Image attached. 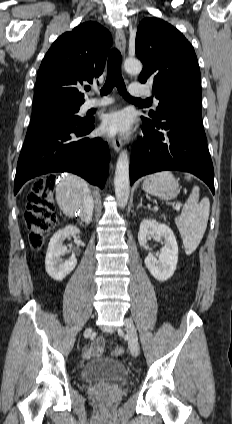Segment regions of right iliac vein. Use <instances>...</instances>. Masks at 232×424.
I'll return each instance as SVG.
<instances>
[{
    "label": "right iliac vein",
    "instance_id": "right-iliac-vein-1",
    "mask_svg": "<svg viewBox=\"0 0 232 424\" xmlns=\"http://www.w3.org/2000/svg\"><path fill=\"white\" fill-rule=\"evenodd\" d=\"M91 332H92V328H91V327H89V328H87V329L85 330L84 335H85V336H89V335L91 334Z\"/></svg>",
    "mask_w": 232,
    "mask_h": 424
}]
</instances>
